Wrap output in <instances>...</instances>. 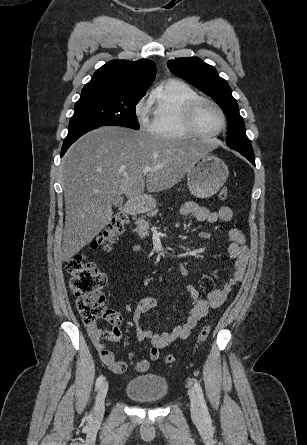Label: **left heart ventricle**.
I'll return each mask as SVG.
<instances>
[{
  "label": "left heart ventricle",
  "instance_id": "b2bd125f",
  "mask_svg": "<svg viewBox=\"0 0 307 445\" xmlns=\"http://www.w3.org/2000/svg\"><path fill=\"white\" fill-rule=\"evenodd\" d=\"M198 122L207 133H216L224 126L221 112L210 104H201L198 110Z\"/></svg>",
  "mask_w": 307,
  "mask_h": 445
}]
</instances>
